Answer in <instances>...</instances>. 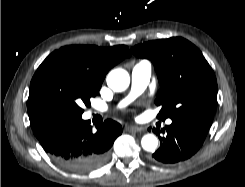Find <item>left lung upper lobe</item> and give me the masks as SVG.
I'll use <instances>...</instances> for the list:
<instances>
[{
	"label": "left lung upper lobe",
	"mask_w": 245,
	"mask_h": 187,
	"mask_svg": "<svg viewBox=\"0 0 245 187\" xmlns=\"http://www.w3.org/2000/svg\"><path fill=\"white\" fill-rule=\"evenodd\" d=\"M131 51L154 64L161 86L155 100L161 106L158 119H213L217 81L195 45L181 37H172L137 45Z\"/></svg>",
	"instance_id": "5c2ea615"
}]
</instances>
